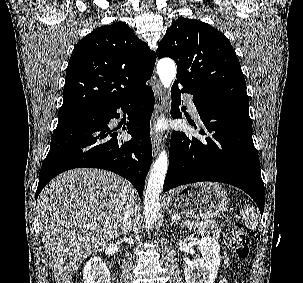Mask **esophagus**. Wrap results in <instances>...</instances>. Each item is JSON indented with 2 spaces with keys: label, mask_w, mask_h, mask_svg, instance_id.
<instances>
[{
  "label": "esophagus",
  "mask_w": 303,
  "mask_h": 283,
  "mask_svg": "<svg viewBox=\"0 0 303 283\" xmlns=\"http://www.w3.org/2000/svg\"><path fill=\"white\" fill-rule=\"evenodd\" d=\"M154 94H155V106H154V113H153V119L157 118L162 112L165 104V97L164 92L162 90L161 85L156 82L153 86ZM152 139V150L153 155L156 156L158 152L160 151L161 147V136L158 135L155 131H152L151 134Z\"/></svg>",
  "instance_id": "34e87169"
}]
</instances>
